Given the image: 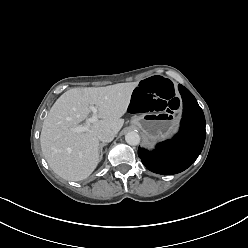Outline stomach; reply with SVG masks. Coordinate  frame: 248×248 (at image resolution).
I'll use <instances>...</instances> for the list:
<instances>
[{"label":"stomach","instance_id":"0dacf381","mask_svg":"<svg viewBox=\"0 0 248 248\" xmlns=\"http://www.w3.org/2000/svg\"><path fill=\"white\" fill-rule=\"evenodd\" d=\"M176 120L177 115L173 111L159 114L143 112L132 118V124L142 131L147 140L155 142L165 138L170 133Z\"/></svg>","mask_w":248,"mask_h":248}]
</instances>
